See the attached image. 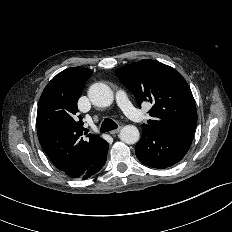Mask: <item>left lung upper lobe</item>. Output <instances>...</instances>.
<instances>
[{"instance_id": "obj_1", "label": "left lung upper lobe", "mask_w": 232, "mask_h": 232, "mask_svg": "<svg viewBox=\"0 0 232 232\" xmlns=\"http://www.w3.org/2000/svg\"><path fill=\"white\" fill-rule=\"evenodd\" d=\"M119 80L133 93L139 107L153 104L148 127L154 130L194 132L197 111L191 90L183 76L172 67L154 60H141L115 71Z\"/></svg>"}]
</instances>
